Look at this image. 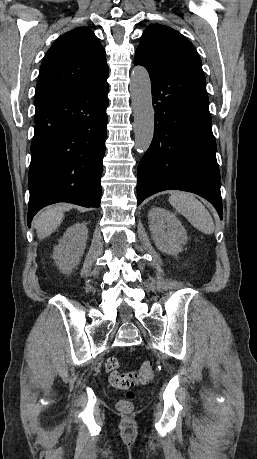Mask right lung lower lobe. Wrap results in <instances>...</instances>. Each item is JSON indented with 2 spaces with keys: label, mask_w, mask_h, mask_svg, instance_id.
Wrapping results in <instances>:
<instances>
[{
  "label": "right lung lower lobe",
  "mask_w": 257,
  "mask_h": 459,
  "mask_svg": "<svg viewBox=\"0 0 257 459\" xmlns=\"http://www.w3.org/2000/svg\"><path fill=\"white\" fill-rule=\"evenodd\" d=\"M107 78L78 91L35 101L29 227L34 215L53 203L100 206L109 104Z\"/></svg>",
  "instance_id": "98d812e1"
}]
</instances>
